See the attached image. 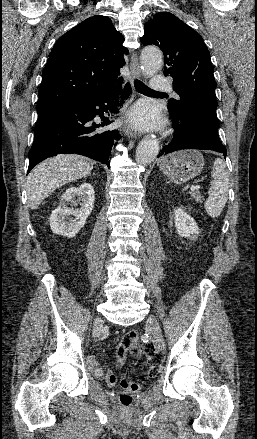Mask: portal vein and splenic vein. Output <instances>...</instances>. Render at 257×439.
Segmentation results:
<instances>
[{"mask_svg": "<svg viewBox=\"0 0 257 439\" xmlns=\"http://www.w3.org/2000/svg\"><path fill=\"white\" fill-rule=\"evenodd\" d=\"M200 186H191V191H198Z\"/></svg>", "mask_w": 257, "mask_h": 439, "instance_id": "1", "label": "portal vein and splenic vein"}]
</instances>
